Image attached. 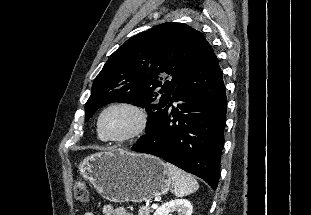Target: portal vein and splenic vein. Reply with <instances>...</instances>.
<instances>
[{
    "mask_svg": "<svg viewBox=\"0 0 311 215\" xmlns=\"http://www.w3.org/2000/svg\"><path fill=\"white\" fill-rule=\"evenodd\" d=\"M157 207H158V205H157V204H155V203H154V204H152V208H154V209H155V208H157Z\"/></svg>",
    "mask_w": 311,
    "mask_h": 215,
    "instance_id": "1",
    "label": "portal vein and splenic vein"
}]
</instances>
